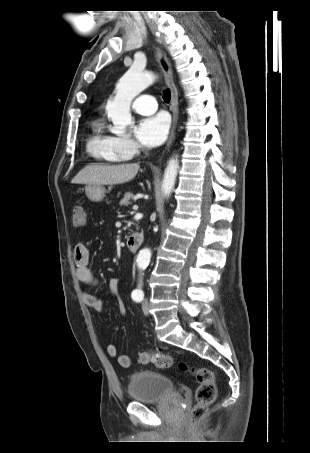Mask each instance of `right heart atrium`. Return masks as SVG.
Returning a JSON list of instances; mask_svg holds the SVG:
<instances>
[{"label":"right heart atrium","mask_w":310,"mask_h":453,"mask_svg":"<svg viewBox=\"0 0 310 453\" xmlns=\"http://www.w3.org/2000/svg\"><path fill=\"white\" fill-rule=\"evenodd\" d=\"M116 147L118 150L125 155L126 157H133L135 156L140 147L138 143L128 137H114Z\"/></svg>","instance_id":"d8ad5b80"}]
</instances>
